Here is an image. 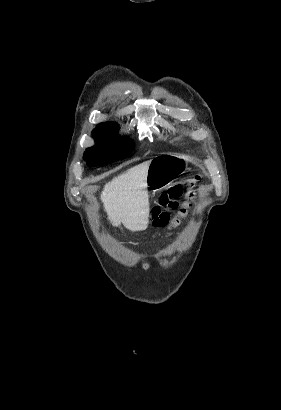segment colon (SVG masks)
<instances>
[{
    "instance_id": "colon-1",
    "label": "colon",
    "mask_w": 281,
    "mask_h": 410,
    "mask_svg": "<svg viewBox=\"0 0 281 410\" xmlns=\"http://www.w3.org/2000/svg\"><path fill=\"white\" fill-rule=\"evenodd\" d=\"M194 180H199L198 176ZM183 195L182 185L178 184L171 188L168 192L163 193L158 201V205L153 209V224L160 228H174L177 227L181 219L186 216L188 208L191 206L195 198V190H190L185 194V200L181 207L178 199ZM162 207L179 208L180 211L175 217H171L167 212L162 211Z\"/></svg>"
}]
</instances>
